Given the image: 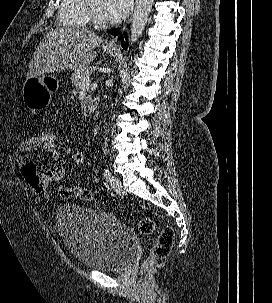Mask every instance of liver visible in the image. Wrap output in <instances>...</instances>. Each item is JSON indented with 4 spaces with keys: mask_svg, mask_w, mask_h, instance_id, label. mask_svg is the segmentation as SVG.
Segmentation results:
<instances>
[{
    "mask_svg": "<svg viewBox=\"0 0 272 303\" xmlns=\"http://www.w3.org/2000/svg\"><path fill=\"white\" fill-rule=\"evenodd\" d=\"M102 42V37L86 28L57 27L39 43L29 64L27 77L86 68L95 59V49Z\"/></svg>",
    "mask_w": 272,
    "mask_h": 303,
    "instance_id": "1",
    "label": "liver"
}]
</instances>
